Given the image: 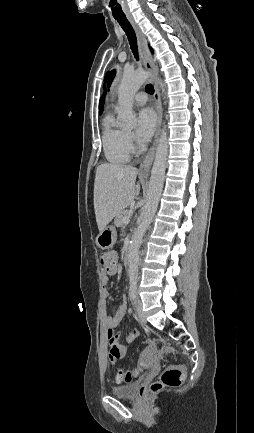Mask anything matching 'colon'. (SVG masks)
<instances>
[{
  "instance_id": "colon-1",
  "label": "colon",
  "mask_w": 254,
  "mask_h": 433,
  "mask_svg": "<svg viewBox=\"0 0 254 433\" xmlns=\"http://www.w3.org/2000/svg\"><path fill=\"white\" fill-rule=\"evenodd\" d=\"M100 263L107 275H114L117 271V253L114 250L104 251L99 256ZM154 363V355L150 351L141 354L138 366L140 369L146 368ZM136 372L119 371L117 379L119 381L130 382ZM184 380V368L182 366H172L167 368L161 375L160 381L152 384L151 391L156 392L162 387L177 388Z\"/></svg>"
}]
</instances>
